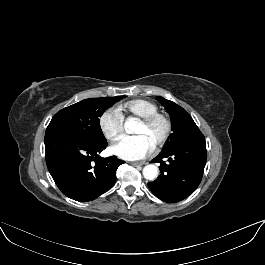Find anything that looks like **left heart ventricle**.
<instances>
[{"mask_svg":"<svg viewBox=\"0 0 265 265\" xmlns=\"http://www.w3.org/2000/svg\"><path fill=\"white\" fill-rule=\"evenodd\" d=\"M163 130H164V125L161 121H157L151 125H144L138 122L134 130V133L145 135L154 146L156 142L160 139Z\"/></svg>","mask_w":265,"mask_h":265,"instance_id":"1","label":"left heart ventricle"}]
</instances>
